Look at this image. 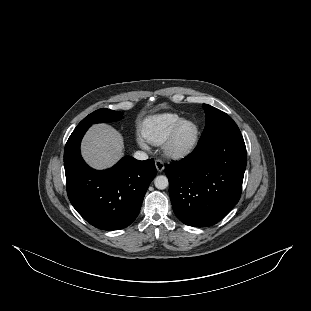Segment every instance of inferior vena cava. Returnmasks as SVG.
I'll return each instance as SVG.
<instances>
[{
  "mask_svg": "<svg viewBox=\"0 0 311 311\" xmlns=\"http://www.w3.org/2000/svg\"><path fill=\"white\" fill-rule=\"evenodd\" d=\"M133 157L137 160L144 161L148 159V154L144 151H136Z\"/></svg>",
  "mask_w": 311,
  "mask_h": 311,
  "instance_id": "602c4592",
  "label": "inferior vena cava"
}]
</instances>
